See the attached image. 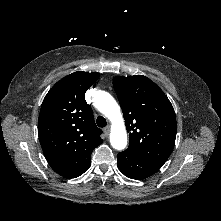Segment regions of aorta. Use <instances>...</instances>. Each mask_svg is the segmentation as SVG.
Instances as JSON below:
<instances>
[{"mask_svg": "<svg viewBox=\"0 0 221 221\" xmlns=\"http://www.w3.org/2000/svg\"><path fill=\"white\" fill-rule=\"evenodd\" d=\"M94 104L111 122L110 143L116 150H122L127 145V132L120 107L115 99L105 91H96Z\"/></svg>", "mask_w": 221, "mask_h": 221, "instance_id": "1", "label": "aorta"}]
</instances>
